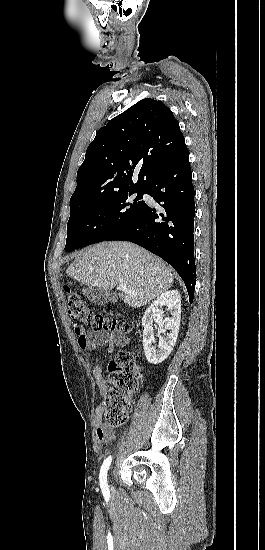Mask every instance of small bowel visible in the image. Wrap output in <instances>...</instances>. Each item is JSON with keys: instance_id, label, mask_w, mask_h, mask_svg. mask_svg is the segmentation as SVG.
Listing matches in <instances>:
<instances>
[{"instance_id": "small-bowel-1", "label": "small bowel", "mask_w": 265, "mask_h": 550, "mask_svg": "<svg viewBox=\"0 0 265 550\" xmlns=\"http://www.w3.org/2000/svg\"><path fill=\"white\" fill-rule=\"evenodd\" d=\"M75 334L77 336L78 346L83 350H94L102 346H107V354H112L116 346H125L129 344L130 339L127 334L123 332L116 333H106V332H97L92 331L88 332L81 327L75 328ZM93 375L100 386L102 387L103 383V369L100 365H95L92 368ZM101 409L98 408L95 416V427H96V436L97 438L107 443L111 441L114 437V432L110 428L106 427L102 421Z\"/></svg>"}]
</instances>
